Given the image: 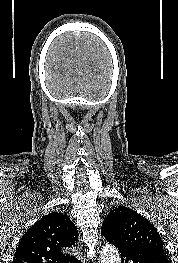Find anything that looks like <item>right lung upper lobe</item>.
I'll return each mask as SVG.
<instances>
[{"instance_id": "1", "label": "right lung upper lobe", "mask_w": 178, "mask_h": 263, "mask_svg": "<svg viewBox=\"0 0 178 263\" xmlns=\"http://www.w3.org/2000/svg\"><path fill=\"white\" fill-rule=\"evenodd\" d=\"M78 231L67 215L43 216L21 238L13 263H75L65 251L77 242Z\"/></svg>"}]
</instances>
